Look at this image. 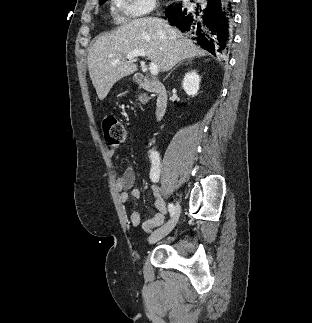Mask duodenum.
Returning a JSON list of instances; mask_svg holds the SVG:
<instances>
[{
    "instance_id": "duodenum-1",
    "label": "duodenum",
    "mask_w": 312,
    "mask_h": 323,
    "mask_svg": "<svg viewBox=\"0 0 312 323\" xmlns=\"http://www.w3.org/2000/svg\"><path fill=\"white\" fill-rule=\"evenodd\" d=\"M137 84L144 90L150 91L155 95V117L162 118L168 108V93L166 87L157 79L146 78L141 74L135 77Z\"/></svg>"
}]
</instances>
